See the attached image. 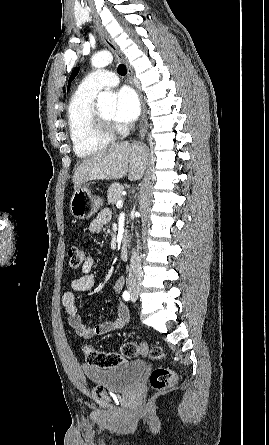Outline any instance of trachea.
<instances>
[{"label":"trachea","mask_w":269,"mask_h":445,"mask_svg":"<svg viewBox=\"0 0 269 445\" xmlns=\"http://www.w3.org/2000/svg\"><path fill=\"white\" fill-rule=\"evenodd\" d=\"M117 71H118V73H119L121 76H125L126 73H127V70H126V67H125L124 64H119V65H118V68H117Z\"/></svg>","instance_id":"3493384b"}]
</instances>
